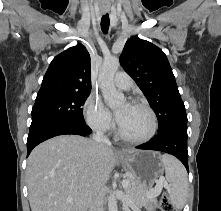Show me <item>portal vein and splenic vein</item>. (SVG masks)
Wrapping results in <instances>:
<instances>
[{"mask_svg":"<svg viewBox=\"0 0 221 211\" xmlns=\"http://www.w3.org/2000/svg\"><path fill=\"white\" fill-rule=\"evenodd\" d=\"M129 185V181L127 179H124L122 181V186L123 188H127ZM162 186H163V182L162 181H158L155 188L150 190L149 192L146 193L147 196H149L150 198H153V197H156L157 195L160 194L161 190H162ZM68 202H71L72 201V198L69 197L67 199Z\"/></svg>","mask_w":221,"mask_h":211,"instance_id":"obj_1","label":"portal vein and splenic vein"}]
</instances>
